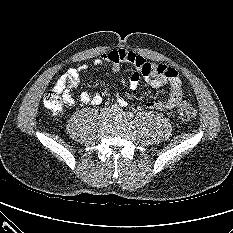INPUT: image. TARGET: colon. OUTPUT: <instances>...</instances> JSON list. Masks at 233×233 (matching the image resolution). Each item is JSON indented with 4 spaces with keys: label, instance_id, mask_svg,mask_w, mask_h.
I'll use <instances>...</instances> for the list:
<instances>
[{
    "label": "colon",
    "instance_id": "1",
    "mask_svg": "<svg viewBox=\"0 0 233 233\" xmlns=\"http://www.w3.org/2000/svg\"><path fill=\"white\" fill-rule=\"evenodd\" d=\"M61 92L53 88L49 90L43 99L44 106L54 114H59L64 108V99ZM177 116L181 121H190L195 116V108L189 102L183 101L177 108Z\"/></svg>",
    "mask_w": 233,
    "mask_h": 233
}]
</instances>
